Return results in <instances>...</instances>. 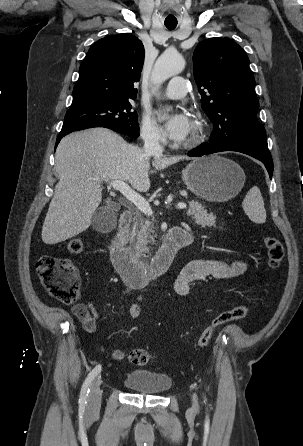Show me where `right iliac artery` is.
Masks as SVG:
<instances>
[{
    "mask_svg": "<svg viewBox=\"0 0 303 446\" xmlns=\"http://www.w3.org/2000/svg\"><path fill=\"white\" fill-rule=\"evenodd\" d=\"M101 371V365H97L87 376L85 382L83 383L79 402L81 404H85L87 400V396L89 393V387L91 385V382L94 380V378L97 376L98 373Z\"/></svg>",
    "mask_w": 303,
    "mask_h": 446,
    "instance_id": "1",
    "label": "right iliac artery"
}]
</instances>
